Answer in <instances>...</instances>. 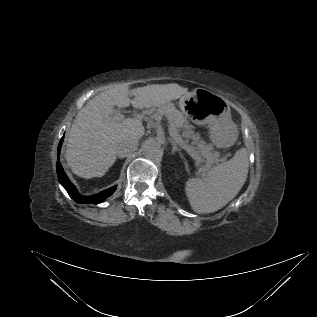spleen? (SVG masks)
<instances>
[{
  "instance_id": "spleen-1",
  "label": "spleen",
  "mask_w": 317,
  "mask_h": 317,
  "mask_svg": "<svg viewBox=\"0 0 317 317\" xmlns=\"http://www.w3.org/2000/svg\"><path fill=\"white\" fill-rule=\"evenodd\" d=\"M248 167L247 149L241 148L229 161L212 167L204 179H189L185 193L192 209L206 214L228 204L245 183Z\"/></svg>"
}]
</instances>
